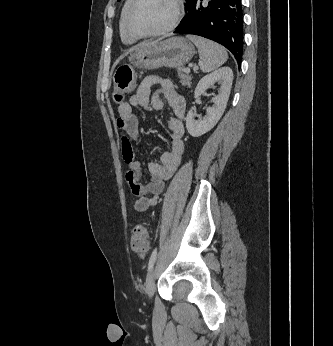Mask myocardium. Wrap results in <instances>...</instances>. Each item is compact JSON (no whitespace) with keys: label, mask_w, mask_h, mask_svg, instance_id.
<instances>
[{"label":"myocardium","mask_w":333,"mask_h":346,"mask_svg":"<svg viewBox=\"0 0 333 346\" xmlns=\"http://www.w3.org/2000/svg\"><path fill=\"white\" fill-rule=\"evenodd\" d=\"M141 0H132L128 11L126 13L125 16V21H124V26H125V30L126 32L133 37L139 38V37H157V36H162L165 35L169 32H171L172 30H174L178 24L180 23L182 16H183V12H184V4H183V0H173L174 3V7H175V13H174V17L173 20L171 21V23L158 31H153V32H145V31H139L137 29H135L132 26V16L133 13L137 7V5L140 3Z\"/></svg>","instance_id":"myocardium-1"}]
</instances>
